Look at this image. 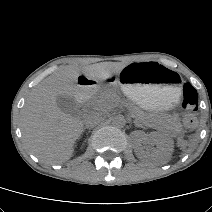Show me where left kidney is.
Returning a JSON list of instances; mask_svg holds the SVG:
<instances>
[{
  "label": "left kidney",
  "instance_id": "left-kidney-1",
  "mask_svg": "<svg viewBox=\"0 0 212 212\" xmlns=\"http://www.w3.org/2000/svg\"><path fill=\"white\" fill-rule=\"evenodd\" d=\"M134 136L137 138V144L135 147V153L140 159L147 158L150 156L142 146V143L149 142L156 146L153 156L158 158L160 161L165 162L170 159L173 152V140L170 137L165 136L159 132H151L147 137L143 131L133 132Z\"/></svg>",
  "mask_w": 212,
  "mask_h": 212
}]
</instances>
